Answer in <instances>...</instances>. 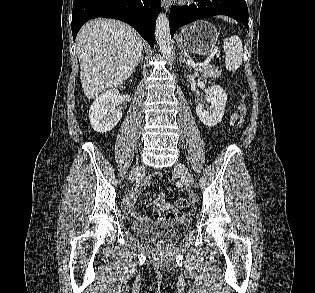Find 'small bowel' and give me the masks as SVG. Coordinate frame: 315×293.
Listing matches in <instances>:
<instances>
[{"instance_id": "obj_1", "label": "small bowel", "mask_w": 315, "mask_h": 293, "mask_svg": "<svg viewBox=\"0 0 315 293\" xmlns=\"http://www.w3.org/2000/svg\"><path fill=\"white\" fill-rule=\"evenodd\" d=\"M161 173L155 172L150 177L144 179L130 194L128 199L124 204V209L126 213L132 217L138 218L139 215L135 210V202L139 194L146 188V186L151 182L152 179L160 178ZM169 212L168 219L169 220H178L181 218V211H173L172 206L165 200V194L159 193L157 198L153 202V213L152 218L158 220L164 212Z\"/></svg>"}]
</instances>
